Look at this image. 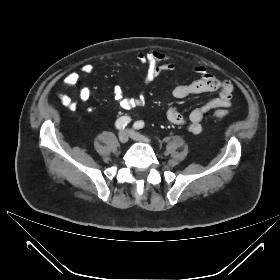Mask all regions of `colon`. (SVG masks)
Here are the masks:
<instances>
[{
    "mask_svg": "<svg viewBox=\"0 0 280 280\" xmlns=\"http://www.w3.org/2000/svg\"><path fill=\"white\" fill-rule=\"evenodd\" d=\"M215 116H216L217 118H223V117L226 116V112H224V111H216V112H215Z\"/></svg>",
    "mask_w": 280,
    "mask_h": 280,
    "instance_id": "obj_1",
    "label": "colon"
}]
</instances>
